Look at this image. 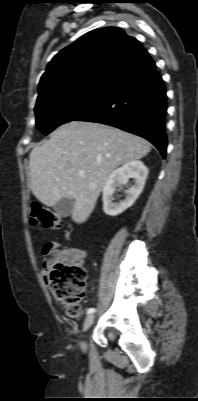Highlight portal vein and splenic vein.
<instances>
[{
	"instance_id": "1",
	"label": "portal vein and splenic vein",
	"mask_w": 198,
	"mask_h": 401,
	"mask_svg": "<svg viewBox=\"0 0 198 401\" xmlns=\"http://www.w3.org/2000/svg\"><path fill=\"white\" fill-rule=\"evenodd\" d=\"M78 174H79L80 177H84L85 172L84 171H79Z\"/></svg>"
}]
</instances>
